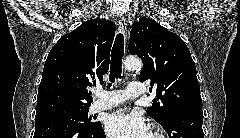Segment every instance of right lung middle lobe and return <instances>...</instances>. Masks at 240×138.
Wrapping results in <instances>:
<instances>
[{
  "instance_id": "1",
  "label": "right lung middle lobe",
  "mask_w": 240,
  "mask_h": 138,
  "mask_svg": "<svg viewBox=\"0 0 240 138\" xmlns=\"http://www.w3.org/2000/svg\"><path fill=\"white\" fill-rule=\"evenodd\" d=\"M88 111L89 107H82L43 113L35 116V124L57 118H66L71 119L86 128L97 126L99 122H93L92 118L88 117Z\"/></svg>"
}]
</instances>
